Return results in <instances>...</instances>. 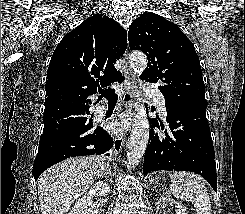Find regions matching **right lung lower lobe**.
<instances>
[{"label":"right lung lower lobe","instance_id":"right-lung-lower-lobe-1","mask_svg":"<svg viewBox=\"0 0 245 214\" xmlns=\"http://www.w3.org/2000/svg\"><path fill=\"white\" fill-rule=\"evenodd\" d=\"M89 108H84L70 117L59 116L50 123H44L38 154L33 164L35 180L47 168L67 158L109 155L113 139L103 128L93 127Z\"/></svg>","mask_w":245,"mask_h":214}]
</instances>
